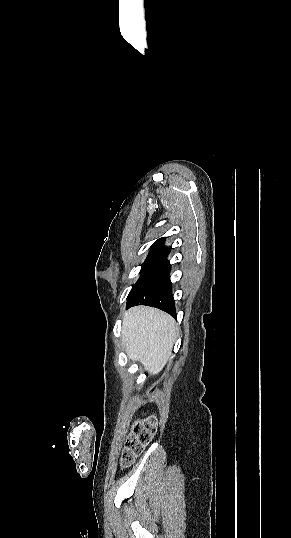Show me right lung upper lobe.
Returning <instances> with one entry per match:
<instances>
[{
	"label": "right lung upper lobe",
	"mask_w": 291,
	"mask_h": 538,
	"mask_svg": "<svg viewBox=\"0 0 291 538\" xmlns=\"http://www.w3.org/2000/svg\"><path fill=\"white\" fill-rule=\"evenodd\" d=\"M166 237L159 238L157 241L153 243V245L150 247L152 249H165L170 250L168 247L164 246Z\"/></svg>",
	"instance_id": "cb5924a9"
}]
</instances>
